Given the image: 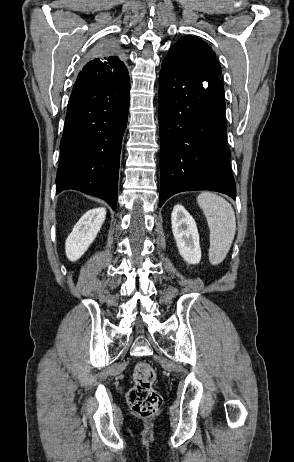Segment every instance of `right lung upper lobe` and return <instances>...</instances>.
I'll list each match as a JSON object with an SVG mask.
<instances>
[{
  "mask_svg": "<svg viewBox=\"0 0 294 462\" xmlns=\"http://www.w3.org/2000/svg\"><path fill=\"white\" fill-rule=\"evenodd\" d=\"M128 74L116 50H107L91 58L79 73L73 90H84L108 84Z\"/></svg>",
  "mask_w": 294,
  "mask_h": 462,
  "instance_id": "cb5924a9",
  "label": "right lung upper lobe"
}]
</instances>
